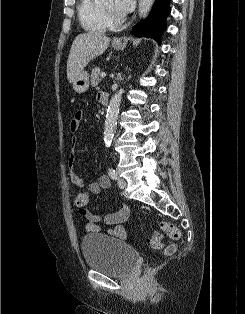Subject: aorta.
Returning a JSON list of instances; mask_svg holds the SVG:
<instances>
[{
  "mask_svg": "<svg viewBox=\"0 0 245 314\" xmlns=\"http://www.w3.org/2000/svg\"><path fill=\"white\" fill-rule=\"evenodd\" d=\"M154 3V0H139L138 13L139 16L145 18ZM122 98V91H118L110 100L104 128V143L109 147L112 143L114 132L116 129V120L119 113V107Z\"/></svg>",
  "mask_w": 245,
  "mask_h": 314,
  "instance_id": "1",
  "label": "aorta"
}]
</instances>
